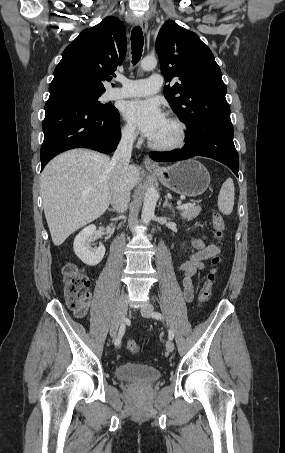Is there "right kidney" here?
<instances>
[{
  "label": "right kidney",
  "mask_w": 285,
  "mask_h": 453,
  "mask_svg": "<svg viewBox=\"0 0 285 453\" xmlns=\"http://www.w3.org/2000/svg\"><path fill=\"white\" fill-rule=\"evenodd\" d=\"M95 233L96 226L93 224L89 225L75 237L73 243L75 254L88 266L98 265L105 255V247L103 245H100L96 250H92L89 246V241Z\"/></svg>",
  "instance_id": "1"
}]
</instances>
